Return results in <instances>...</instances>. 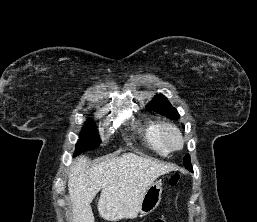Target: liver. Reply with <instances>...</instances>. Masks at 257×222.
<instances>
[{
  "mask_svg": "<svg viewBox=\"0 0 257 222\" xmlns=\"http://www.w3.org/2000/svg\"><path fill=\"white\" fill-rule=\"evenodd\" d=\"M173 164L124 153L93 166L80 156L70 167L68 191L73 206V222H94L91 202L101 190L99 215L116 222L133 219L149 186L160 176L176 170Z\"/></svg>",
  "mask_w": 257,
  "mask_h": 222,
  "instance_id": "6515ba94",
  "label": "liver"
}]
</instances>
